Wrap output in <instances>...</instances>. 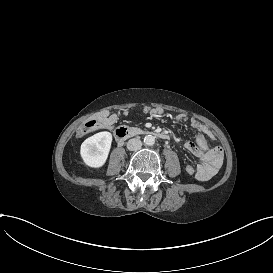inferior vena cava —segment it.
Here are the masks:
<instances>
[{
    "mask_svg": "<svg viewBox=\"0 0 273 273\" xmlns=\"http://www.w3.org/2000/svg\"><path fill=\"white\" fill-rule=\"evenodd\" d=\"M142 146V141L137 138H132L127 142V148L129 150H138Z\"/></svg>",
    "mask_w": 273,
    "mask_h": 273,
    "instance_id": "obj_1",
    "label": "inferior vena cava"
}]
</instances>
